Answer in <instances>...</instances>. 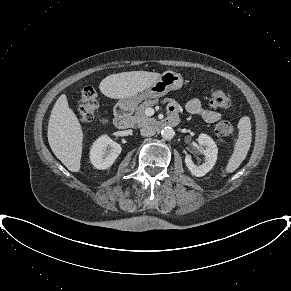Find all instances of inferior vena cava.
I'll return each mask as SVG.
<instances>
[{"instance_id":"obj_1","label":"inferior vena cava","mask_w":291,"mask_h":291,"mask_svg":"<svg viewBox=\"0 0 291 291\" xmlns=\"http://www.w3.org/2000/svg\"><path fill=\"white\" fill-rule=\"evenodd\" d=\"M140 133L144 137H150L155 135V129L153 126H144L140 129Z\"/></svg>"}]
</instances>
